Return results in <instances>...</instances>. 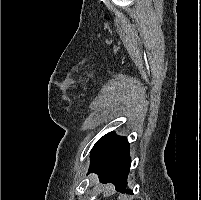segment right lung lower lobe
<instances>
[{"mask_svg":"<svg viewBox=\"0 0 201 200\" xmlns=\"http://www.w3.org/2000/svg\"><path fill=\"white\" fill-rule=\"evenodd\" d=\"M130 166L127 138L110 132L100 138L92 148L88 173H96L101 182L113 183L118 191L131 194L132 190L126 189Z\"/></svg>","mask_w":201,"mask_h":200,"instance_id":"1","label":"right lung lower lobe"}]
</instances>
